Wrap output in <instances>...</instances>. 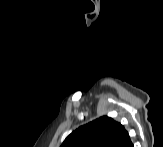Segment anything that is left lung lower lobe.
Here are the masks:
<instances>
[{
  "label": "left lung lower lobe",
  "instance_id": "obj_1",
  "mask_svg": "<svg viewBox=\"0 0 163 147\" xmlns=\"http://www.w3.org/2000/svg\"><path fill=\"white\" fill-rule=\"evenodd\" d=\"M116 147H134L127 131L123 133Z\"/></svg>",
  "mask_w": 163,
  "mask_h": 147
}]
</instances>
